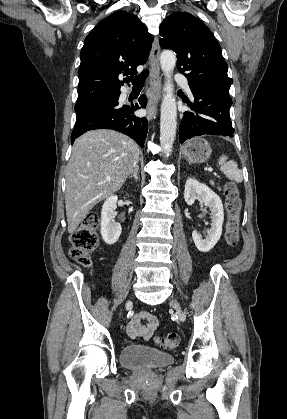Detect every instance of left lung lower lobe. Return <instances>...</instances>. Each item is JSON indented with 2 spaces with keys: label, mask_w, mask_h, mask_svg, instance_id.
Instances as JSON below:
<instances>
[{
  "label": "left lung lower lobe",
  "mask_w": 287,
  "mask_h": 419,
  "mask_svg": "<svg viewBox=\"0 0 287 419\" xmlns=\"http://www.w3.org/2000/svg\"><path fill=\"white\" fill-rule=\"evenodd\" d=\"M191 91L195 103L188 102L193 112H185L181 120L180 143L202 135L233 137L234 128L229 115L232 101L229 93L209 89Z\"/></svg>",
  "instance_id": "left-lung-lower-lobe-1"
}]
</instances>
